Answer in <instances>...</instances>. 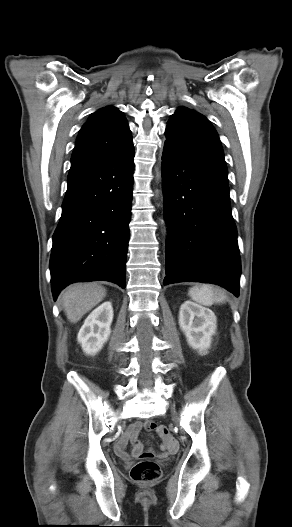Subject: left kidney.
<instances>
[{"mask_svg":"<svg viewBox=\"0 0 292 527\" xmlns=\"http://www.w3.org/2000/svg\"><path fill=\"white\" fill-rule=\"evenodd\" d=\"M216 320L211 310L191 301L184 302L180 307V328L190 347L200 354H205L210 348L217 327Z\"/></svg>","mask_w":292,"mask_h":527,"instance_id":"obj_1","label":"left kidney"}]
</instances>
